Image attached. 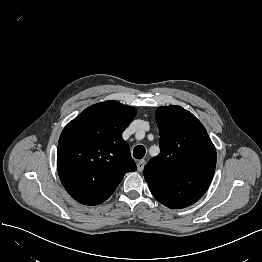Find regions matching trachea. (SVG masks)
<instances>
[{
  "instance_id": "trachea-1",
  "label": "trachea",
  "mask_w": 262,
  "mask_h": 262,
  "mask_svg": "<svg viewBox=\"0 0 262 262\" xmlns=\"http://www.w3.org/2000/svg\"><path fill=\"white\" fill-rule=\"evenodd\" d=\"M146 149L142 145H138L133 150V156L136 159H142L145 156Z\"/></svg>"
}]
</instances>
